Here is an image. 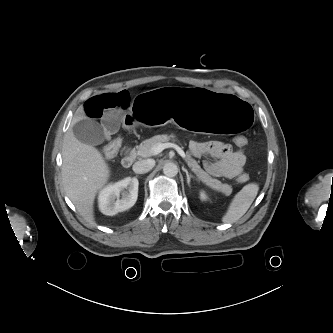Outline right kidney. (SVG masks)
<instances>
[{
	"mask_svg": "<svg viewBox=\"0 0 333 333\" xmlns=\"http://www.w3.org/2000/svg\"><path fill=\"white\" fill-rule=\"evenodd\" d=\"M138 186V179L131 177L107 185L99 193V209L103 214L113 216L131 208L137 201Z\"/></svg>",
	"mask_w": 333,
	"mask_h": 333,
	"instance_id": "1",
	"label": "right kidney"
}]
</instances>
